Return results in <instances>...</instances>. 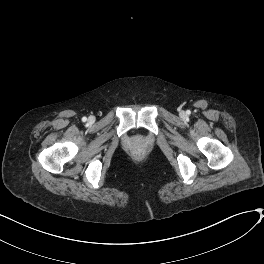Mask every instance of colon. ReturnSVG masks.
I'll use <instances>...</instances> for the list:
<instances>
[{
	"mask_svg": "<svg viewBox=\"0 0 264 264\" xmlns=\"http://www.w3.org/2000/svg\"><path fill=\"white\" fill-rule=\"evenodd\" d=\"M141 154H142V152H141V151H138V152H137V155H138V156H140Z\"/></svg>",
	"mask_w": 264,
	"mask_h": 264,
	"instance_id": "5ec220e1",
	"label": "colon"
}]
</instances>
